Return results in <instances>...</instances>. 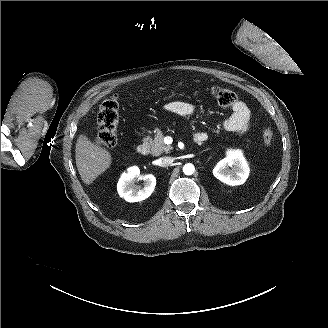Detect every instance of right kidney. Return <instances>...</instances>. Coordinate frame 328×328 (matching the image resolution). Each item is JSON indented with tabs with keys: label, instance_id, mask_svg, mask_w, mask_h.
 Wrapping results in <instances>:
<instances>
[{
	"label": "right kidney",
	"instance_id": "obj_1",
	"mask_svg": "<svg viewBox=\"0 0 328 328\" xmlns=\"http://www.w3.org/2000/svg\"><path fill=\"white\" fill-rule=\"evenodd\" d=\"M141 178L144 180V187L135 185V180ZM156 178L152 174L144 176L140 175L137 166L127 168V172H123L117 183V191L120 197L127 202H138L148 198L154 191Z\"/></svg>",
	"mask_w": 328,
	"mask_h": 328
}]
</instances>
